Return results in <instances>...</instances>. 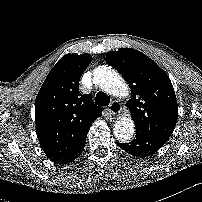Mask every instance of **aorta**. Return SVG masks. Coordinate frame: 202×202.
<instances>
[{
	"instance_id": "1",
	"label": "aorta",
	"mask_w": 202,
	"mask_h": 202,
	"mask_svg": "<svg viewBox=\"0 0 202 202\" xmlns=\"http://www.w3.org/2000/svg\"><path fill=\"white\" fill-rule=\"evenodd\" d=\"M95 83L105 92L117 97H126L129 87L123 78L114 70L106 66H99L93 71ZM134 122L131 117H123L114 125V134L120 141H127L134 135Z\"/></svg>"
}]
</instances>
